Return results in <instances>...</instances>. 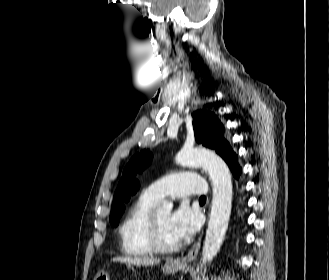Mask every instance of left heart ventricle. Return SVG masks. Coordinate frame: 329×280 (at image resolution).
I'll return each mask as SVG.
<instances>
[{
    "instance_id": "obj_1",
    "label": "left heart ventricle",
    "mask_w": 329,
    "mask_h": 280,
    "mask_svg": "<svg viewBox=\"0 0 329 280\" xmlns=\"http://www.w3.org/2000/svg\"><path fill=\"white\" fill-rule=\"evenodd\" d=\"M169 220V211L162 210L157 212L158 229L162 241L166 244H176L178 241L175 239L171 232Z\"/></svg>"
}]
</instances>
